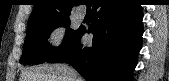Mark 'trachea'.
<instances>
[{
  "mask_svg": "<svg viewBox=\"0 0 169 81\" xmlns=\"http://www.w3.org/2000/svg\"><path fill=\"white\" fill-rule=\"evenodd\" d=\"M87 5V9L89 10L90 9V5L89 4H86Z\"/></svg>",
  "mask_w": 169,
  "mask_h": 81,
  "instance_id": "1",
  "label": "trachea"
}]
</instances>
